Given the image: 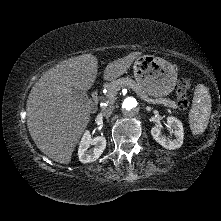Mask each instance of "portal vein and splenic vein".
Returning a JSON list of instances; mask_svg holds the SVG:
<instances>
[{
  "instance_id": "obj_1",
  "label": "portal vein and splenic vein",
  "mask_w": 221,
  "mask_h": 221,
  "mask_svg": "<svg viewBox=\"0 0 221 221\" xmlns=\"http://www.w3.org/2000/svg\"><path fill=\"white\" fill-rule=\"evenodd\" d=\"M140 97L142 99H144L145 101H148V102H150L152 104H163V102L161 100H159V99H151V98L147 97L146 95H141Z\"/></svg>"
}]
</instances>
